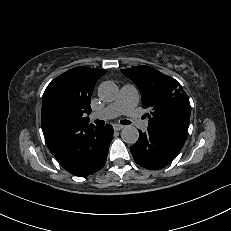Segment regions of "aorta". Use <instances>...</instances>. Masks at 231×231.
<instances>
[{
    "instance_id": "762f6f07",
    "label": "aorta",
    "mask_w": 231,
    "mask_h": 231,
    "mask_svg": "<svg viewBox=\"0 0 231 231\" xmlns=\"http://www.w3.org/2000/svg\"><path fill=\"white\" fill-rule=\"evenodd\" d=\"M118 93L117 85L112 81H104L98 87V96L105 101H112ZM121 138L125 143L135 144L139 138V132L134 126H125L121 131Z\"/></svg>"
}]
</instances>
